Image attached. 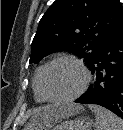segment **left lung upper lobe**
I'll list each match as a JSON object with an SVG mask.
<instances>
[{
	"instance_id": "1",
	"label": "left lung upper lobe",
	"mask_w": 123,
	"mask_h": 130,
	"mask_svg": "<svg viewBox=\"0 0 123 130\" xmlns=\"http://www.w3.org/2000/svg\"><path fill=\"white\" fill-rule=\"evenodd\" d=\"M122 22L119 0H56L39 22L29 62L69 51L91 66Z\"/></svg>"
}]
</instances>
